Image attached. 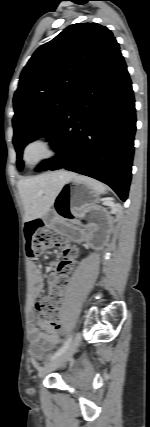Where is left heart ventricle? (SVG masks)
I'll return each mask as SVG.
<instances>
[{
  "mask_svg": "<svg viewBox=\"0 0 150 427\" xmlns=\"http://www.w3.org/2000/svg\"><path fill=\"white\" fill-rule=\"evenodd\" d=\"M45 150L43 147L37 146L34 147L32 149H30V151L27 154V160L29 162H33L35 160H37L38 158H40L42 155H44Z\"/></svg>",
  "mask_w": 150,
  "mask_h": 427,
  "instance_id": "1",
  "label": "left heart ventricle"
}]
</instances>
